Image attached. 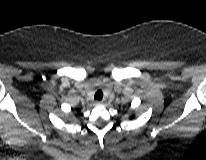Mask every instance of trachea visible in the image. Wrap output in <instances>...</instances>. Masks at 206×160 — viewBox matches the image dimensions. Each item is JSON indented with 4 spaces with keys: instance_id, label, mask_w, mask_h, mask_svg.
<instances>
[{
    "instance_id": "3493384b",
    "label": "trachea",
    "mask_w": 206,
    "mask_h": 160,
    "mask_svg": "<svg viewBox=\"0 0 206 160\" xmlns=\"http://www.w3.org/2000/svg\"><path fill=\"white\" fill-rule=\"evenodd\" d=\"M102 98H103L102 90H97V92L95 93L94 99L95 100H101Z\"/></svg>"
}]
</instances>
